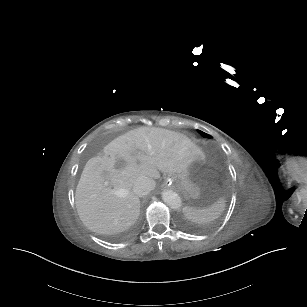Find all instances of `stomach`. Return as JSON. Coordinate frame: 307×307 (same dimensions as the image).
Instances as JSON below:
<instances>
[{
  "label": "stomach",
  "mask_w": 307,
  "mask_h": 307,
  "mask_svg": "<svg viewBox=\"0 0 307 307\" xmlns=\"http://www.w3.org/2000/svg\"><path fill=\"white\" fill-rule=\"evenodd\" d=\"M201 162L202 160L199 158L192 162L186 169L169 174L166 178V183L173 185L183 193H192L196 189L194 181Z\"/></svg>",
  "instance_id": "0dacf381"
}]
</instances>
